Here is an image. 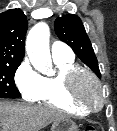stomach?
<instances>
[{
    "label": "stomach",
    "mask_w": 117,
    "mask_h": 131,
    "mask_svg": "<svg viewBox=\"0 0 117 131\" xmlns=\"http://www.w3.org/2000/svg\"><path fill=\"white\" fill-rule=\"evenodd\" d=\"M51 131H78V126L74 121L63 118L53 122Z\"/></svg>",
    "instance_id": "1"
}]
</instances>
